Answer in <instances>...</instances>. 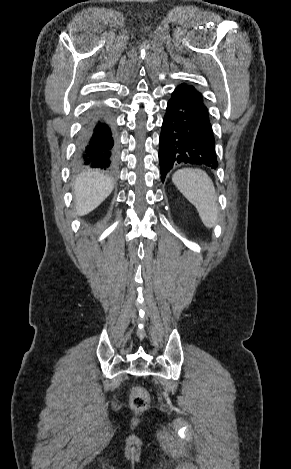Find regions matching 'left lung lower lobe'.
Returning <instances> with one entry per match:
<instances>
[{
	"instance_id": "left-lung-lower-lobe-1",
	"label": "left lung lower lobe",
	"mask_w": 291,
	"mask_h": 469,
	"mask_svg": "<svg viewBox=\"0 0 291 469\" xmlns=\"http://www.w3.org/2000/svg\"><path fill=\"white\" fill-rule=\"evenodd\" d=\"M162 182L179 164L216 169L215 139L203 97L193 85L177 86L168 101L159 140Z\"/></svg>"
}]
</instances>
